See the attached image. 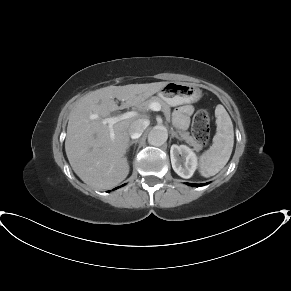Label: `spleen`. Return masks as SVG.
Wrapping results in <instances>:
<instances>
[{"mask_svg":"<svg viewBox=\"0 0 291 291\" xmlns=\"http://www.w3.org/2000/svg\"><path fill=\"white\" fill-rule=\"evenodd\" d=\"M216 134L212 146L200 156L199 169L202 176L216 175L227 164L234 145V130L231 118L219 104L215 109Z\"/></svg>","mask_w":291,"mask_h":291,"instance_id":"spleen-1","label":"spleen"}]
</instances>
